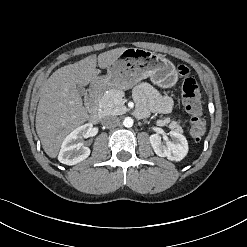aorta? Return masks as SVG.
<instances>
[{
	"label": "aorta",
	"mask_w": 247,
	"mask_h": 247,
	"mask_svg": "<svg viewBox=\"0 0 247 247\" xmlns=\"http://www.w3.org/2000/svg\"><path fill=\"white\" fill-rule=\"evenodd\" d=\"M133 123H134V121L131 117H126L123 121V125L127 128L132 127Z\"/></svg>",
	"instance_id": "762f6f07"
}]
</instances>
